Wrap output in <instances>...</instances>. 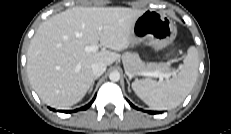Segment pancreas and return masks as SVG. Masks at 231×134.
Instances as JSON below:
<instances>
[{
  "instance_id": "pancreas-1",
  "label": "pancreas",
  "mask_w": 231,
  "mask_h": 134,
  "mask_svg": "<svg viewBox=\"0 0 231 134\" xmlns=\"http://www.w3.org/2000/svg\"><path fill=\"white\" fill-rule=\"evenodd\" d=\"M122 62H123L124 68L130 74H138L141 72H149V71H159L162 73H167L170 70L168 63H163V62L145 63L140 59L137 53H132V52H125L122 55Z\"/></svg>"
}]
</instances>
